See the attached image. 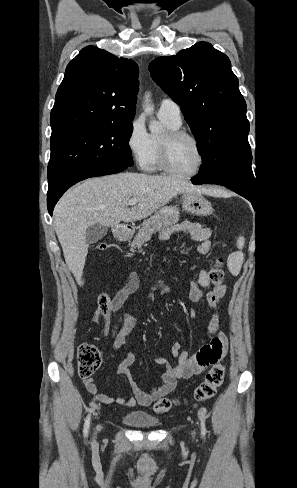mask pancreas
<instances>
[{"instance_id":"cf45deb5","label":"pancreas","mask_w":297,"mask_h":488,"mask_svg":"<svg viewBox=\"0 0 297 488\" xmlns=\"http://www.w3.org/2000/svg\"><path fill=\"white\" fill-rule=\"evenodd\" d=\"M179 214V209L176 206L162 208L154 216L144 220L131 246L133 248H141L157 231H160L163 227L177 223L179 221Z\"/></svg>"}]
</instances>
